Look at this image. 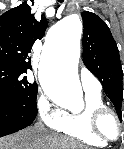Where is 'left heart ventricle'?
Instances as JSON below:
<instances>
[{
	"label": "left heart ventricle",
	"mask_w": 124,
	"mask_h": 149,
	"mask_svg": "<svg viewBox=\"0 0 124 149\" xmlns=\"http://www.w3.org/2000/svg\"><path fill=\"white\" fill-rule=\"evenodd\" d=\"M103 130L110 137H115L117 135V124L112 117H106L102 122Z\"/></svg>",
	"instance_id": "obj_1"
}]
</instances>
